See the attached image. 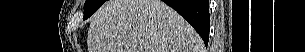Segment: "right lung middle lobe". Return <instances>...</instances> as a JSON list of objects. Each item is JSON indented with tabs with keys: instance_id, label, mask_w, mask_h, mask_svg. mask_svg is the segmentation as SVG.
Returning <instances> with one entry per match:
<instances>
[{
	"instance_id": "1",
	"label": "right lung middle lobe",
	"mask_w": 305,
	"mask_h": 52,
	"mask_svg": "<svg viewBox=\"0 0 305 52\" xmlns=\"http://www.w3.org/2000/svg\"><path fill=\"white\" fill-rule=\"evenodd\" d=\"M106 0H86L84 5V20L89 18Z\"/></svg>"
}]
</instances>
